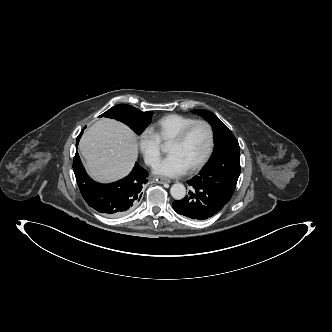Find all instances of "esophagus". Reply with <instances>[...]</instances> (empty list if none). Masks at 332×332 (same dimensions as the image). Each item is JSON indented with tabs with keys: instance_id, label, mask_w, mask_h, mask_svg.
<instances>
[{
	"instance_id": "esophagus-1",
	"label": "esophagus",
	"mask_w": 332,
	"mask_h": 332,
	"mask_svg": "<svg viewBox=\"0 0 332 332\" xmlns=\"http://www.w3.org/2000/svg\"><path fill=\"white\" fill-rule=\"evenodd\" d=\"M153 180H154V182L160 183V184L170 183V180L167 178H164V177H154Z\"/></svg>"
}]
</instances>
